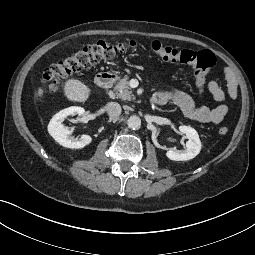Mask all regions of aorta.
<instances>
[{"instance_id": "aorta-1", "label": "aorta", "mask_w": 255, "mask_h": 255, "mask_svg": "<svg viewBox=\"0 0 255 255\" xmlns=\"http://www.w3.org/2000/svg\"><path fill=\"white\" fill-rule=\"evenodd\" d=\"M128 127L132 130H138L141 127V119L138 116H130L127 121Z\"/></svg>"}]
</instances>
